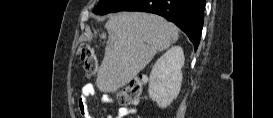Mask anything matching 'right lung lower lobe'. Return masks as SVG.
Masks as SVG:
<instances>
[{
  "label": "right lung lower lobe",
  "instance_id": "1",
  "mask_svg": "<svg viewBox=\"0 0 273 118\" xmlns=\"http://www.w3.org/2000/svg\"><path fill=\"white\" fill-rule=\"evenodd\" d=\"M205 4V0H125L113 12L141 11L160 15L185 32L196 50L203 28Z\"/></svg>",
  "mask_w": 273,
  "mask_h": 118
}]
</instances>
